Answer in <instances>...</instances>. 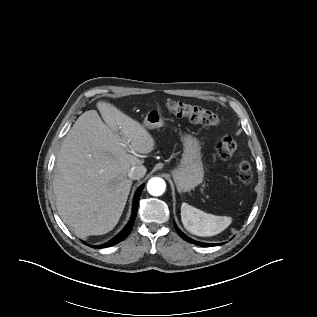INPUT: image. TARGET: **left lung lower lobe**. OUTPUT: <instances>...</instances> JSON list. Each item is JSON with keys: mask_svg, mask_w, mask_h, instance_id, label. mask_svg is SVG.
Segmentation results:
<instances>
[{"mask_svg": "<svg viewBox=\"0 0 317 317\" xmlns=\"http://www.w3.org/2000/svg\"><path fill=\"white\" fill-rule=\"evenodd\" d=\"M174 225H175V229H176L177 233L179 234V236H180L181 238H183L184 240H186V241L192 243V244H195V245H198V246H206V247L224 244V243H220V244H208V243H202V242L195 241V240L189 238L188 236H186L183 232H181V231L179 230V228L176 226V224H174Z\"/></svg>", "mask_w": 317, "mask_h": 317, "instance_id": "left-lung-lower-lobe-1", "label": "left lung lower lobe"}]
</instances>
